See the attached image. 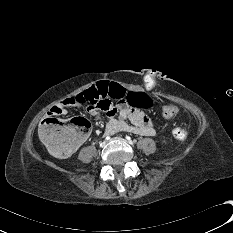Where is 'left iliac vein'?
I'll use <instances>...</instances> for the list:
<instances>
[{
    "mask_svg": "<svg viewBox=\"0 0 233 233\" xmlns=\"http://www.w3.org/2000/svg\"><path fill=\"white\" fill-rule=\"evenodd\" d=\"M114 139L120 140V141H125V139H123V138H121V137H116V138H113L112 140H114Z\"/></svg>",
    "mask_w": 233,
    "mask_h": 233,
    "instance_id": "4c4485c4",
    "label": "left iliac vein"
}]
</instances>
